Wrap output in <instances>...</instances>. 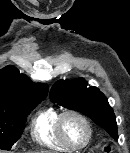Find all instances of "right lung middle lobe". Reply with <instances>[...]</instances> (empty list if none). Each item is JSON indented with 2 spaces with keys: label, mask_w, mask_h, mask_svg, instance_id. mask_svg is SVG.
<instances>
[{
  "label": "right lung middle lobe",
  "mask_w": 130,
  "mask_h": 153,
  "mask_svg": "<svg viewBox=\"0 0 130 153\" xmlns=\"http://www.w3.org/2000/svg\"><path fill=\"white\" fill-rule=\"evenodd\" d=\"M41 101L33 102L17 109L0 108V149L10 150L20 138L26 118Z\"/></svg>",
  "instance_id": "dd1d6c3e"
}]
</instances>
